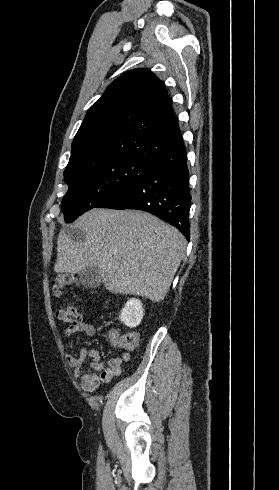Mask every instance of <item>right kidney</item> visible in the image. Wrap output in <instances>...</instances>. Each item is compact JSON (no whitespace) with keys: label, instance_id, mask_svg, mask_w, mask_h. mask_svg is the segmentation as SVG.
<instances>
[{"label":"right kidney","instance_id":"ca27d5eb","mask_svg":"<svg viewBox=\"0 0 279 490\" xmlns=\"http://www.w3.org/2000/svg\"><path fill=\"white\" fill-rule=\"evenodd\" d=\"M143 316V304L136 298H130L120 312V322H123L128 328H136L141 324Z\"/></svg>","mask_w":279,"mask_h":490}]
</instances>
